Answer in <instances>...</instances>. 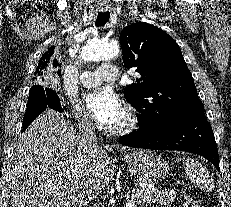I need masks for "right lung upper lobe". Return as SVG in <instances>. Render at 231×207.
I'll return each instance as SVG.
<instances>
[{
	"label": "right lung upper lobe",
	"mask_w": 231,
	"mask_h": 207,
	"mask_svg": "<svg viewBox=\"0 0 231 207\" xmlns=\"http://www.w3.org/2000/svg\"><path fill=\"white\" fill-rule=\"evenodd\" d=\"M54 49L55 47L52 46L50 47L41 57L38 66L35 70L34 75L38 78L40 75H42L44 73V71L46 70V67L49 65V63L51 62V57L54 54Z\"/></svg>",
	"instance_id": "right-lung-upper-lobe-1"
}]
</instances>
